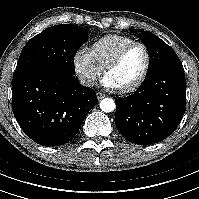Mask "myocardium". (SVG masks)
<instances>
[{
  "label": "myocardium",
  "mask_w": 199,
  "mask_h": 199,
  "mask_svg": "<svg viewBox=\"0 0 199 199\" xmlns=\"http://www.w3.org/2000/svg\"><path fill=\"white\" fill-rule=\"evenodd\" d=\"M133 46H141L146 54V64H145V68L142 72V74L140 75V77L131 85L123 87V88H119V89H114L116 92L120 93V94H128V93H132L134 91H136L139 87L142 86V84L145 82V80L148 77L149 71H150V67H151V62H152V58H151V53L150 50L148 48V46L140 41H133L127 45H125L124 47H122L117 54L110 60V62L104 67L102 75L103 77H105V75L112 69H114L115 67H117L119 65V63L121 62V60L123 59L124 55L128 52V50L130 48H132Z\"/></svg>",
  "instance_id": "obj_1"
}]
</instances>
